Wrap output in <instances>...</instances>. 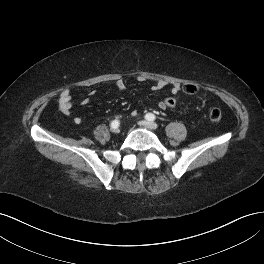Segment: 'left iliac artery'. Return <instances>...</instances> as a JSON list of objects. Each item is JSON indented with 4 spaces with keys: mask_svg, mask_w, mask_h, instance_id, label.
Wrapping results in <instances>:
<instances>
[{
    "mask_svg": "<svg viewBox=\"0 0 264 264\" xmlns=\"http://www.w3.org/2000/svg\"><path fill=\"white\" fill-rule=\"evenodd\" d=\"M145 118L147 120H149V121H153V120L156 119V116L154 114H152V113H148V114L145 115Z\"/></svg>",
    "mask_w": 264,
    "mask_h": 264,
    "instance_id": "44dca946",
    "label": "left iliac artery"
}]
</instances>
